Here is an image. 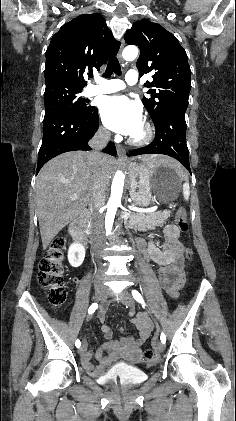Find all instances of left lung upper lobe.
I'll return each instance as SVG.
<instances>
[{"mask_svg":"<svg viewBox=\"0 0 236 421\" xmlns=\"http://www.w3.org/2000/svg\"><path fill=\"white\" fill-rule=\"evenodd\" d=\"M127 44L137 45L140 57L137 68L140 76L152 72L153 87L143 97V104L153 122L172 107L187 109L191 89V70L185 50L177 38L161 25L148 19L136 21L124 36Z\"/></svg>","mask_w":236,"mask_h":421,"instance_id":"obj_1","label":"left lung upper lobe"}]
</instances>
